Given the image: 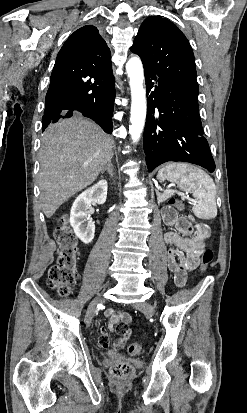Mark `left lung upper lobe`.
Returning a JSON list of instances; mask_svg holds the SVG:
<instances>
[{
  "instance_id": "obj_1",
  "label": "left lung upper lobe",
  "mask_w": 247,
  "mask_h": 413,
  "mask_svg": "<svg viewBox=\"0 0 247 413\" xmlns=\"http://www.w3.org/2000/svg\"><path fill=\"white\" fill-rule=\"evenodd\" d=\"M130 50L140 56L145 68L198 94L192 48L171 21L158 16L146 18Z\"/></svg>"
}]
</instances>
